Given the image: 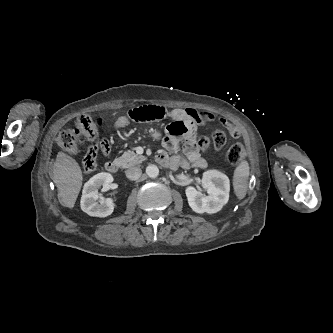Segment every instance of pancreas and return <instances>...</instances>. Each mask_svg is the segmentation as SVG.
I'll return each mask as SVG.
<instances>
[{
  "instance_id": "pancreas-1",
  "label": "pancreas",
  "mask_w": 333,
  "mask_h": 333,
  "mask_svg": "<svg viewBox=\"0 0 333 333\" xmlns=\"http://www.w3.org/2000/svg\"><path fill=\"white\" fill-rule=\"evenodd\" d=\"M119 160L124 168H128L140 164L142 161L145 160V157L138 156L135 152L128 150L123 153Z\"/></svg>"
}]
</instances>
